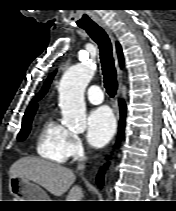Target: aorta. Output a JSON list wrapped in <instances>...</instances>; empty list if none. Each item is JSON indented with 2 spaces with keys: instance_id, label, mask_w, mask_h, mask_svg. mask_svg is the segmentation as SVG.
I'll return each mask as SVG.
<instances>
[{
  "instance_id": "aorta-1",
  "label": "aorta",
  "mask_w": 176,
  "mask_h": 211,
  "mask_svg": "<svg viewBox=\"0 0 176 211\" xmlns=\"http://www.w3.org/2000/svg\"><path fill=\"white\" fill-rule=\"evenodd\" d=\"M92 63L77 64L65 71L59 83V106L63 124L71 130L86 128L84 92L95 74Z\"/></svg>"
}]
</instances>
